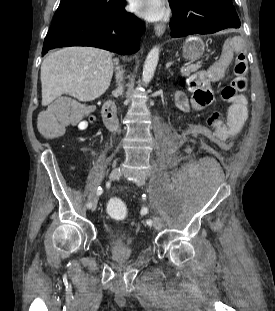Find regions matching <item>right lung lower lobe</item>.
<instances>
[{"label": "right lung lower lobe", "instance_id": "right-lung-lower-lobe-1", "mask_svg": "<svg viewBox=\"0 0 275 311\" xmlns=\"http://www.w3.org/2000/svg\"><path fill=\"white\" fill-rule=\"evenodd\" d=\"M124 7L125 1L118 0L109 9L53 22L44 40L42 55L66 46H92L119 54L137 52L145 24Z\"/></svg>", "mask_w": 275, "mask_h": 311}]
</instances>
